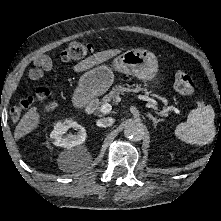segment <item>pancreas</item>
Wrapping results in <instances>:
<instances>
[{"label": "pancreas", "mask_w": 221, "mask_h": 221, "mask_svg": "<svg viewBox=\"0 0 221 221\" xmlns=\"http://www.w3.org/2000/svg\"><path fill=\"white\" fill-rule=\"evenodd\" d=\"M135 85H116L115 87L112 88V90L105 95L100 104H106V103H117L120 100V96L124 95L126 93H131L135 90L137 91H143L145 95H152L151 91H148L147 88H142L141 85H136L135 89H132V87ZM101 107H98L97 110H100Z\"/></svg>", "instance_id": "pancreas-1"}]
</instances>
